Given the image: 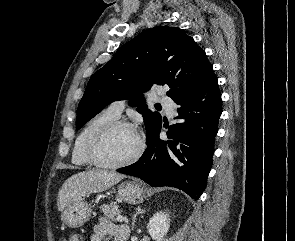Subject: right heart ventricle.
Masks as SVG:
<instances>
[{
	"label": "right heart ventricle",
	"mask_w": 295,
	"mask_h": 241,
	"mask_svg": "<svg viewBox=\"0 0 295 241\" xmlns=\"http://www.w3.org/2000/svg\"><path fill=\"white\" fill-rule=\"evenodd\" d=\"M116 119H118L117 115L112 113L109 109H105L93 116L84 125L74 142L71 158L74 165L79 167H89L92 165L87 154L90 140L102 126Z\"/></svg>",
	"instance_id": "e07e8e85"
}]
</instances>
